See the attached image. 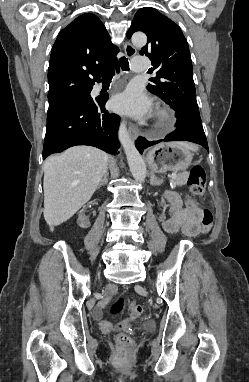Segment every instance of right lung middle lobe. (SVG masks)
Listing matches in <instances>:
<instances>
[{
    "label": "right lung middle lobe",
    "mask_w": 249,
    "mask_h": 382,
    "mask_svg": "<svg viewBox=\"0 0 249 382\" xmlns=\"http://www.w3.org/2000/svg\"><path fill=\"white\" fill-rule=\"evenodd\" d=\"M91 99L90 90L78 92L56 102L49 103L48 115H53L69 106L83 104Z\"/></svg>",
    "instance_id": "dd1d6c3e"
}]
</instances>
